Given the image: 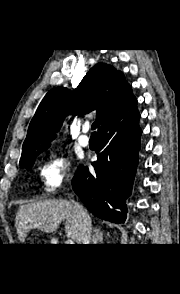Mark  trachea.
I'll use <instances>...</instances> for the list:
<instances>
[{
  "label": "trachea",
  "instance_id": "obj_1",
  "mask_svg": "<svg viewBox=\"0 0 180 294\" xmlns=\"http://www.w3.org/2000/svg\"><path fill=\"white\" fill-rule=\"evenodd\" d=\"M96 127H97V122H94V123L92 124V130H95ZM96 135H97L96 132H93V133H92V136H96Z\"/></svg>",
  "mask_w": 180,
  "mask_h": 294
}]
</instances>
